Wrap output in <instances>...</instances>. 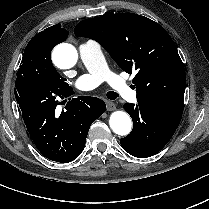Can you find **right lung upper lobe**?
I'll return each instance as SVG.
<instances>
[{"mask_svg":"<svg viewBox=\"0 0 209 209\" xmlns=\"http://www.w3.org/2000/svg\"><path fill=\"white\" fill-rule=\"evenodd\" d=\"M42 32L50 33L51 38L55 42V46L58 43L64 42L68 37V31L66 29L61 28L60 24H56L54 26H51Z\"/></svg>","mask_w":209,"mask_h":209,"instance_id":"cb5924a9","label":"right lung upper lobe"}]
</instances>
